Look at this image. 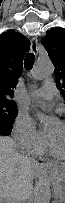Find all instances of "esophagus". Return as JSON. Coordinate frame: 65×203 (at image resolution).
<instances>
[{
    "mask_svg": "<svg viewBox=\"0 0 65 203\" xmlns=\"http://www.w3.org/2000/svg\"><path fill=\"white\" fill-rule=\"evenodd\" d=\"M31 51L34 53V54H37L38 53V40L36 37H33L31 39Z\"/></svg>",
    "mask_w": 65,
    "mask_h": 203,
    "instance_id": "esophagus-1",
    "label": "esophagus"
}]
</instances>
